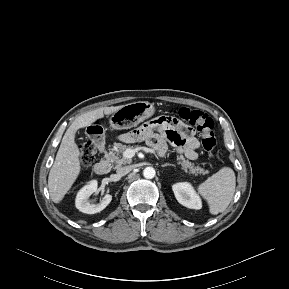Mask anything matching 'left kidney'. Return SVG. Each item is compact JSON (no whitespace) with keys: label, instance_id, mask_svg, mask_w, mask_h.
<instances>
[{"label":"left kidney","instance_id":"left-kidney-1","mask_svg":"<svg viewBox=\"0 0 289 289\" xmlns=\"http://www.w3.org/2000/svg\"><path fill=\"white\" fill-rule=\"evenodd\" d=\"M177 201L190 209H201L202 201L190 183L181 182L172 186Z\"/></svg>","mask_w":289,"mask_h":289}]
</instances>
